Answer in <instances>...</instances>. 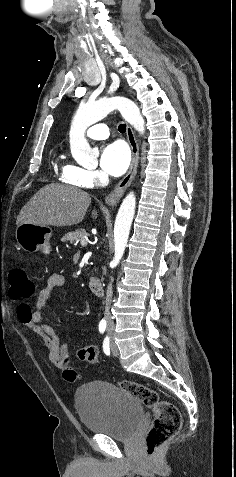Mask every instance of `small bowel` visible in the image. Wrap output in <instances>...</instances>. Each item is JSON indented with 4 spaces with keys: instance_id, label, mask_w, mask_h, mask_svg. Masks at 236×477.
Returning a JSON list of instances; mask_svg holds the SVG:
<instances>
[{
    "instance_id": "obj_1",
    "label": "small bowel",
    "mask_w": 236,
    "mask_h": 477,
    "mask_svg": "<svg viewBox=\"0 0 236 477\" xmlns=\"http://www.w3.org/2000/svg\"><path fill=\"white\" fill-rule=\"evenodd\" d=\"M65 284L66 279L62 274L51 275L39 291L34 308L30 307L29 310H25L22 313L18 311L20 321L43 338L48 359L57 368H62L66 365L72 350L69 346L61 343L55 330L43 320V308L54 292ZM90 347L98 357V347L95 345H90Z\"/></svg>"
}]
</instances>
